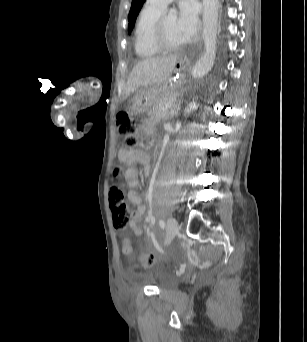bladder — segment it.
Wrapping results in <instances>:
<instances>
[{"label":"bladder","mask_w":307,"mask_h":342,"mask_svg":"<svg viewBox=\"0 0 307 342\" xmlns=\"http://www.w3.org/2000/svg\"><path fill=\"white\" fill-rule=\"evenodd\" d=\"M151 284L159 289H167L174 284V277L170 274H158L153 277Z\"/></svg>","instance_id":"31cf9c89"}]
</instances>
